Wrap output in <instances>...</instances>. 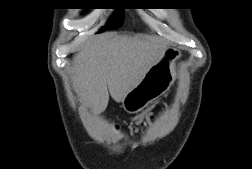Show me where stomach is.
I'll return each mask as SVG.
<instances>
[{"label":"stomach","instance_id":"stomach-1","mask_svg":"<svg viewBox=\"0 0 252 169\" xmlns=\"http://www.w3.org/2000/svg\"><path fill=\"white\" fill-rule=\"evenodd\" d=\"M178 52L166 49L148 70L140 83L125 96L121 107L129 114H135L157 101L174 84L176 78L174 61Z\"/></svg>","mask_w":252,"mask_h":169}]
</instances>
